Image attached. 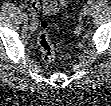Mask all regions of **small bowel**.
<instances>
[{
	"instance_id": "1",
	"label": "small bowel",
	"mask_w": 111,
	"mask_h": 106,
	"mask_svg": "<svg viewBox=\"0 0 111 106\" xmlns=\"http://www.w3.org/2000/svg\"><path fill=\"white\" fill-rule=\"evenodd\" d=\"M67 4L68 0L45 1L43 5V13L48 16L54 15Z\"/></svg>"
}]
</instances>
